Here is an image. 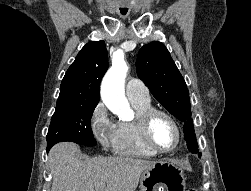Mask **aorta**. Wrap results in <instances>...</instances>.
Returning a JSON list of instances; mask_svg holds the SVG:
<instances>
[{"label": "aorta", "mask_w": 251, "mask_h": 191, "mask_svg": "<svg viewBox=\"0 0 251 191\" xmlns=\"http://www.w3.org/2000/svg\"><path fill=\"white\" fill-rule=\"evenodd\" d=\"M128 66L123 54H114L110 70L105 74L101 84V97L112 113H116L122 121L131 117L130 103L125 96V78Z\"/></svg>", "instance_id": "1"}]
</instances>
